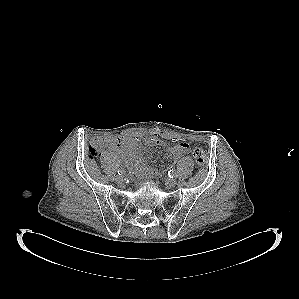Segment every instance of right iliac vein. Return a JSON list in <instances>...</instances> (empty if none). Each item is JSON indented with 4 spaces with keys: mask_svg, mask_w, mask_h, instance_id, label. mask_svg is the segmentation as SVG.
Returning a JSON list of instances; mask_svg holds the SVG:
<instances>
[{
    "mask_svg": "<svg viewBox=\"0 0 299 299\" xmlns=\"http://www.w3.org/2000/svg\"><path fill=\"white\" fill-rule=\"evenodd\" d=\"M115 180H116L117 183H123L124 178L121 177V176H117V177L115 178Z\"/></svg>",
    "mask_w": 299,
    "mask_h": 299,
    "instance_id": "right-iliac-vein-1",
    "label": "right iliac vein"
}]
</instances>
